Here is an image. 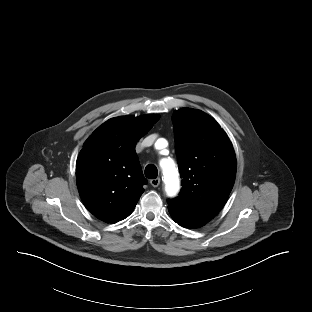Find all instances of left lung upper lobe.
I'll list each match as a JSON object with an SVG mask.
<instances>
[{"mask_svg": "<svg viewBox=\"0 0 312 312\" xmlns=\"http://www.w3.org/2000/svg\"><path fill=\"white\" fill-rule=\"evenodd\" d=\"M182 189L169 200V211L206 224L225 205L236 176L233 146L206 113L182 108L172 116Z\"/></svg>", "mask_w": 312, "mask_h": 312, "instance_id": "obj_1", "label": "left lung upper lobe"}]
</instances>
